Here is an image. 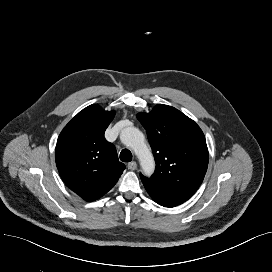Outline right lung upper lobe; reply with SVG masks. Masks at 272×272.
<instances>
[{
    "label": "right lung upper lobe",
    "mask_w": 272,
    "mask_h": 272,
    "mask_svg": "<svg viewBox=\"0 0 272 272\" xmlns=\"http://www.w3.org/2000/svg\"><path fill=\"white\" fill-rule=\"evenodd\" d=\"M115 116L93 104L79 112L58 137L55 159L65 184L82 199L94 201L118 181L125 165L104 133Z\"/></svg>",
    "instance_id": "1"
}]
</instances>
